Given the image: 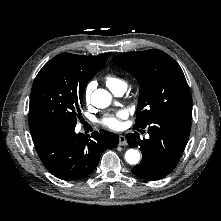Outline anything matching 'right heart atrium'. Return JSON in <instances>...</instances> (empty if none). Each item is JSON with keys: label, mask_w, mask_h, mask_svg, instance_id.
<instances>
[{"label": "right heart atrium", "mask_w": 221, "mask_h": 221, "mask_svg": "<svg viewBox=\"0 0 221 221\" xmlns=\"http://www.w3.org/2000/svg\"><path fill=\"white\" fill-rule=\"evenodd\" d=\"M94 87H95V83L89 82L84 90V98L87 102L90 100L91 93H92Z\"/></svg>", "instance_id": "1"}]
</instances>
